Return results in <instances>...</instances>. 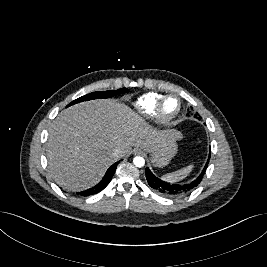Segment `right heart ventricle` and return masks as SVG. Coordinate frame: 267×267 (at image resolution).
I'll return each mask as SVG.
<instances>
[{
    "label": "right heart ventricle",
    "mask_w": 267,
    "mask_h": 267,
    "mask_svg": "<svg viewBox=\"0 0 267 267\" xmlns=\"http://www.w3.org/2000/svg\"><path fill=\"white\" fill-rule=\"evenodd\" d=\"M162 97L163 95L159 93H146L135 101L134 106L142 115L150 117L154 114L156 104Z\"/></svg>",
    "instance_id": "right-heart-ventricle-1"
}]
</instances>
